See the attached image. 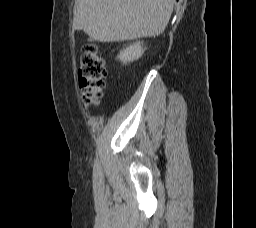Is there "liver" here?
<instances>
[{"mask_svg":"<svg viewBox=\"0 0 256 228\" xmlns=\"http://www.w3.org/2000/svg\"><path fill=\"white\" fill-rule=\"evenodd\" d=\"M75 29L99 42L156 37L171 17L174 0H76Z\"/></svg>","mask_w":256,"mask_h":228,"instance_id":"6515ba94","label":"liver"}]
</instances>
